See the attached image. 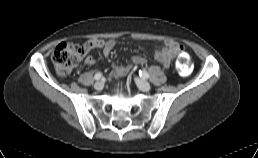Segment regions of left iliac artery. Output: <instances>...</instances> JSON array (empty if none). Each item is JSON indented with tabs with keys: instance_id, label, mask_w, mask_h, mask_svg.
Returning <instances> with one entry per match:
<instances>
[{
	"instance_id": "44dca946",
	"label": "left iliac artery",
	"mask_w": 258,
	"mask_h": 158,
	"mask_svg": "<svg viewBox=\"0 0 258 158\" xmlns=\"http://www.w3.org/2000/svg\"><path fill=\"white\" fill-rule=\"evenodd\" d=\"M139 75H140V77H142V78H146V79L149 78V74L147 73L146 70H139Z\"/></svg>"
}]
</instances>
